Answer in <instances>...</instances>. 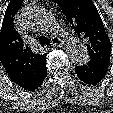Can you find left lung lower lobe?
I'll return each instance as SVG.
<instances>
[{"label": "left lung lower lobe", "mask_w": 113, "mask_h": 113, "mask_svg": "<svg viewBox=\"0 0 113 113\" xmlns=\"http://www.w3.org/2000/svg\"><path fill=\"white\" fill-rule=\"evenodd\" d=\"M107 66H104L95 61H89L87 65L76 66L75 71L79 79L86 84H97L106 75Z\"/></svg>", "instance_id": "left-lung-lower-lobe-1"}]
</instances>
